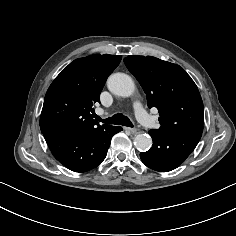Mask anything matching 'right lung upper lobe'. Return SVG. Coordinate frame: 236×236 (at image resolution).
<instances>
[{"label": "right lung upper lobe", "instance_id": "right-lung-upper-lobe-1", "mask_svg": "<svg viewBox=\"0 0 236 236\" xmlns=\"http://www.w3.org/2000/svg\"><path fill=\"white\" fill-rule=\"evenodd\" d=\"M120 55H90L70 63L52 82L40 117L44 136L91 131L99 125L92 118L107 77L119 65Z\"/></svg>", "mask_w": 236, "mask_h": 236}]
</instances>
